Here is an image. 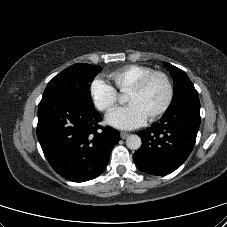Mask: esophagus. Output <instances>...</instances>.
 <instances>
[{
	"label": "esophagus",
	"mask_w": 227,
	"mask_h": 227,
	"mask_svg": "<svg viewBox=\"0 0 227 227\" xmlns=\"http://www.w3.org/2000/svg\"><path fill=\"white\" fill-rule=\"evenodd\" d=\"M120 136H121L122 139H126L129 136V133H127V132H121L120 133Z\"/></svg>",
	"instance_id": "1"
}]
</instances>
